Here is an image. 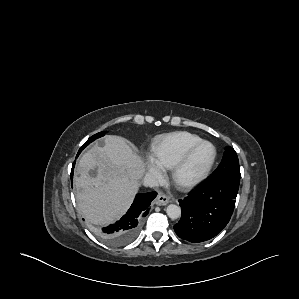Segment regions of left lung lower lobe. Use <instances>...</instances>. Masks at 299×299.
Returning <instances> with one entry per match:
<instances>
[{
    "label": "left lung lower lobe",
    "instance_id": "obj_1",
    "mask_svg": "<svg viewBox=\"0 0 299 299\" xmlns=\"http://www.w3.org/2000/svg\"><path fill=\"white\" fill-rule=\"evenodd\" d=\"M238 189V182L208 178L179 201L182 216L174 226L176 234L194 243L215 237L231 218Z\"/></svg>",
    "mask_w": 299,
    "mask_h": 299
}]
</instances>
